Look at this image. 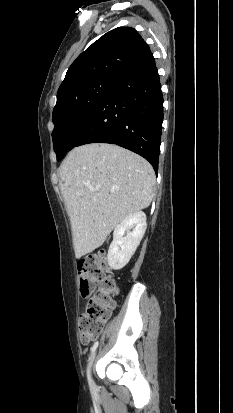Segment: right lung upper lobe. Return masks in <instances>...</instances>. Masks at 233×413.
I'll return each instance as SVG.
<instances>
[{
    "mask_svg": "<svg viewBox=\"0 0 233 413\" xmlns=\"http://www.w3.org/2000/svg\"><path fill=\"white\" fill-rule=\"evenodd\" d=\"M150 48L131 27L115 28L81 53L68 69L57 99L100 77H117L144 57Z\"/></svg>",
    "mask_w": 233,
    "mask_h": 413,
    "instance_id": "cb5924a9",
    "label": "right lung upper lobe"
}]
</instances>
